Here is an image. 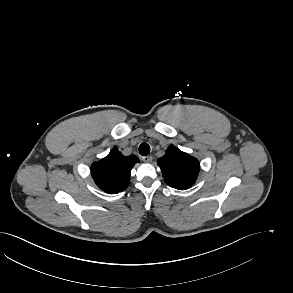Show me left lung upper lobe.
<instances>
[{
  "mask_svg": "<svg viewBox=\"0 0 293 293\" xmlns=\"http://www.w3.org/2000/svg\"><path fill=\"white\" fill-rule=\"evenodd\" d=\"M165 182L176 189L190 188L196 181L200 164L189 154L170 145L163 157L158 159Z\"/></svg>",
  "mask_w": 293,
  "mask_h": 293,
  "instance_id": "1",
  "label": "left lung upper lobe"
}]
</instances>
